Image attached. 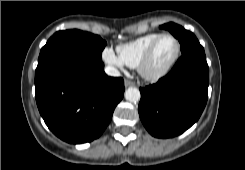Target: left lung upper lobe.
Returning a JSON list of instances; mask_svg holds the SVG:
<instances>
[{"instance_id": "obj_1", "label": "left lung upper lobe", "mask_w": 245, "mask_h": 170, "mask_svg": "<svg viewBox=\"0 0 245 170\" xmlns=\"http://www.w3.org/2000/svg\"><path fill=\"white\" fill-rule=\"evenodd\" d=\"M160 28L168 30L175 38L178 39L182 54L205 57L203 47L192 32L185 30L183 27L175 23H167L161 25Z\"/></svg>"}]
</instances>
